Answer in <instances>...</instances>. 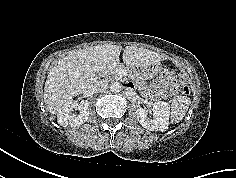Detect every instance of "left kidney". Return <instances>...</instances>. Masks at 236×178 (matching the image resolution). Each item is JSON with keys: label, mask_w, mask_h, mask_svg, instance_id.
Wrapping results in <instances>:
<instances>
[{"label": "left kidney", "mask_w": 236, "mask_h": 178, "mask_svg": "<svg viewBox=\"0 0 236 178\" xmlns=\"http://www.w3.org/2000/svg\"><path fill=\"white\" fill-rule=\"evenodd\" d=\"M154 119L147 118V111L138 106L136 109V115L139 123L142 127L150 131L164 132L168 129L170 108L169 104L163 101H158L153 104Z\"/></svg>", "instance_id": "1"}]
</instances>
